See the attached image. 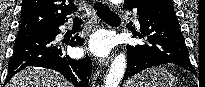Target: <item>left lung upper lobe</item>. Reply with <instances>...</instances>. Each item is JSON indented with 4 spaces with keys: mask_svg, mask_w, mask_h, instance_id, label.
I'll use <instances>...</instances> for the list:
<instances>
[{
    "mask_svg": "<svg viewBox=\"0 0 205 87\" xmlns=\"http://www.w3.org/2000/svg\"><path fill=\"white\" fill-rule=\"evenodd\" d=\"M148 1H151V0H125L124 4L125 3H132V2H135V3H144V2H148ZM171 1V0H170Z\"/></svg>",
    "mask_w": 205,
    "mask_h": 87,
    "instance_id": "5c2ea615",
    "label": "left lung upper lobe"
}]
</instances>
